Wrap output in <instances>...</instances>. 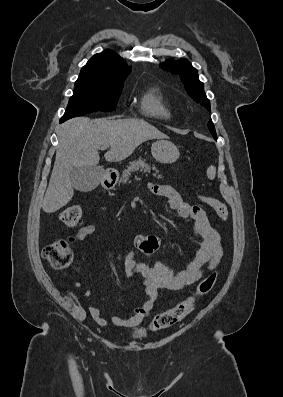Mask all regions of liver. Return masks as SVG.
Returning a JSON list of instances; mask_svg holds the SVG:
<instances>
[{
    "label": "liver",
    "mask_w": 283,
    "mask_h": 397,
    "mask_svg": "<svg viewBox=\"0 0 283 397\" xmlns=\"http://www.w3.org/2000/svg\"><path fill=\"white\" fill-rule=\"evenodd\" d=\"M166 135L142 119L90 120L77 117L60 126L59 143L51 178L42 208L53 213L67 205L74 195L70 173L75 166L97 167L98 148L108 144L111 148L104 157L108 162H119L149 139H162Z\"/></svg>",
    "instance_id": "obj_1"
}]
</instances>
